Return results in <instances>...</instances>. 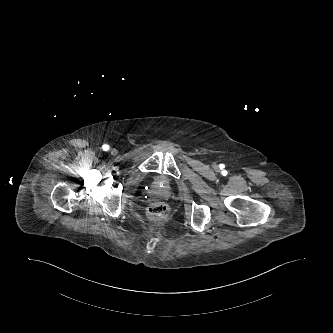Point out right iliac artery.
Segmentation results:
<instances>
[{
	"label": "right iliac artery",
	"instance_id": "1",
	"mask_svg": "<svg viewBox=\"0 0 333 333\" xmlns=\"http://www.w3.org/2000/svg\"><path fill=\"white\" fill-rule=\"evenodd\" d=\"M102 149H103L104 151H108V150H109V145L104 144V145L102 146Z\"/></svg>",
	"mask_w": 333,
	"mask_h": 333
}]
</instances>
